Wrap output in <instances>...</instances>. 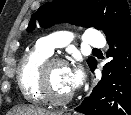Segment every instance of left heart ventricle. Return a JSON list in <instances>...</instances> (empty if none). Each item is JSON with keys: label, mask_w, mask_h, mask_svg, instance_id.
<instances>
[{"label": "left heart ventricle", "mask_w": 131, "mask_h": 115, "mask_svg": "<svg viewBox=\"0 0 131 115\" xmlns=\"http://www.w3.org/2000/svg\"><path fill=\"white\" fill-rule=\"evenodd\" d=\"M68 69L65 66L54 65L47 72L48 89L55 97H65L71 93L67 81Z\"/></svg>", "instance_id": "1"}]
</instances>
